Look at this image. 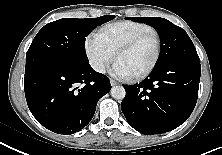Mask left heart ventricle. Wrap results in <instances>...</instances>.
I'll list each match as a JSON object with an SVG mask.
<instances>
[{
    "label": "left heart ventricle",
    "mask_w": 222,
    "mask_h": 155,
    "mask_svg": "<svg viewBox=\"0 0 222 155\" xmlns=\"http://www.w3.org/2000/svg\"><path fill=\"white\" fill-rule=\"evenodd\" d=\"M157 52V40L148 36L133 49L122 53L117 60L129 70L131 76L146 70L153 62Z\"/></svg>",
    "instance_id": "obj_1"
}]
</instances>
